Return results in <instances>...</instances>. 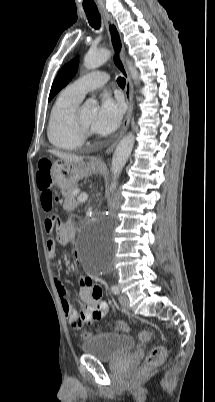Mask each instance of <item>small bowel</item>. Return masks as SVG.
Returning <instances> with one entry per match:
<instances>
[{
    "label": "small bowel",
    "mask_w": 215,
    "mask_h": 402,
    "mask_svg": "<svg viewBox=\"0 0 215 402\" xmlns=\"http://www.w3.org/2000/svg\"><path fill=\"white\" fill-rule=\"evenodd\" d=\"M56 229L58 241L66 245L73 238V229L70 224H54L52 228ZM46 230V229H45ZM52 230H46L51 232ZM47 252L50 258H54L57 253V242L54 239H48L46 242ZM55 285L60 297L61 305L66 319L75 330H79L84 324H93L100 321L109 311L108 304L102 300L101 288L94 284L89 277L80 279V298L84 306L77 311L70 302L66 289L59 277H55Z\"/></svg>",
    "instance_id": "c3829d8e"
}]
</instances>
